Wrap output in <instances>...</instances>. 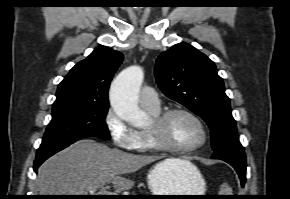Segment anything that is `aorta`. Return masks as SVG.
<instances>
[{
	"mask_svg": "<svg viewBox=\"0 0 290 199\" xmlns=\"http://www.w3.org/2000/svg\"><path fill=\"white\" fill-rule=\"evenodd\" d=\"M143 78L142 68L131 66L114 79L110 89L112 108L117 115L135 127H145L149 123L148 115L138 106V93Z\"/></svg>",
	"mask_w": 290,
	"mask_h": 199,
	"instance_id": "762f6f07",
	"label": "aorta"
}]
</instances>
